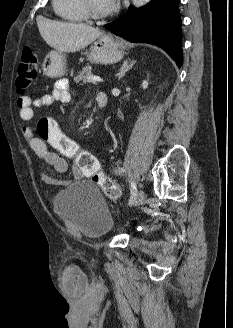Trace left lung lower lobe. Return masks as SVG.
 Wrapping results in <instances>:
<instances>
[{
    "instance_id": "obj_1",
    "label": "left lung lower lobe",
    "mask_w": 233,
    "mask_h": 328,
    "mask_svg": "<svg viewBox=\"0 0 233 328\" xmlns=\"http://www.w3.org/2000/svg\"><path fill=\"white\" fill-rule=\"evenodd\" d=\"M180 0H151L136 9L130 6L126 15L106 25V29L131 42L157 45L180 67L182 64Z\"/></svg>"
}]
</instances>
